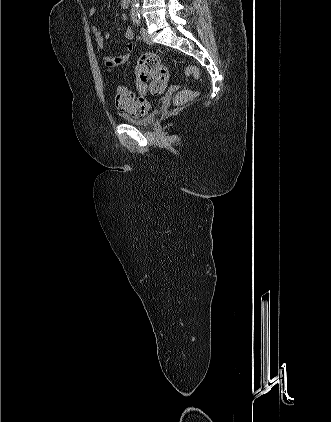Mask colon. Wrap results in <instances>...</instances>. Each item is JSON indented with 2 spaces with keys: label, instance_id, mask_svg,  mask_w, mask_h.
Returning a JSON list of instances; mask_svg holds the SVG:
<instances>
[{
  "label": "colon",
  "instance_id": "obj_1",
  "mask_svg": "<svg viewBox=\"0 0 331 422\" xmlns=\"http://www.w3.org/2000/svg\"><path fill=\"white\" fill-rule=\"evenodd\" d=\"M190 74L199 75V70L190 66ZM135 74L139 84V93H135L125 86H118L115 96L116 106L122 111H126L133 116H142L149 110V104L144 97L145 92L160 94L164 91L168 82V67L161 62L159 57L152 53L143 54L136 66ZM195 91H183L176 96L177 105L186 104L197 97Z\"/></svg>",
  "mask_w": 331,
  "mask_h": 422
}]
</instances>
